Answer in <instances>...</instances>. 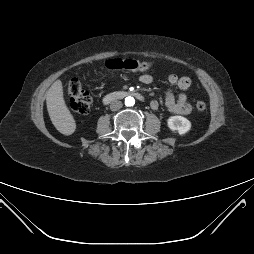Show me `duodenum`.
<instances>
[{
    "mask_svg": "<svg viewBox=\"0 0 254 254\" xmlns=\"http://www.w3.org/2000/svg\"><path fill=\"white\" fill-rule=\"evenodd\" d=\"M128 96H133V97H136L140 100L143 99V96L140 93L135 92V91H116V92H112V93L107 94L103 98V102L104 103H110V102L115 101V100L124 99Z\"/></svg>",
    "mask_w": 254,
    "mask_h": 254,
    "instance_id": "duodenum-1",
    "label": "duodenum"
}]
</instances>
